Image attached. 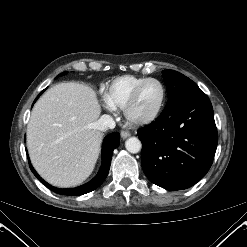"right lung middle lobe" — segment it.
<instances>
[{
  "label": "right lung middle lobe",
  "mask_w": 247,
  "mask_h": 247,
  "mask_svg": "<svg viewBox=\"0 0 247 247\" xmlns=\"http://www.w3.org/2000/svg\"><path fill=\"white\" fill-rule=\"evenodd\" d=\"M66 73H67V72H63V73L59 74L58 76L64 75V74H66Z\"/></svg>",
  "instance_id": "dd1d6c3e"
}]
</instances>
